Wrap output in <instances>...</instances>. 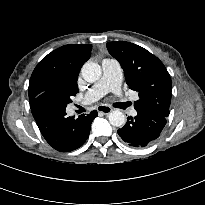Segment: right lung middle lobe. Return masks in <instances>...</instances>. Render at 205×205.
<instances>
[{"label": "right lung middle lobe", "instance_id": "obj_1", "mask_svg": "<svg viewBox=\"0 0 205 205\" xmlns=\"http://www.w3.org/2000/svg\"><path fill=\"white\" fill-rule=\"evenodd\" d=\"M64 96L67 98V104H69L71 100V96H74L76 93H78V86L76 80H68L66 88L62 91Z\"/></svg>", "mask_w": 205, "mask_h": 205}]
</instances>
